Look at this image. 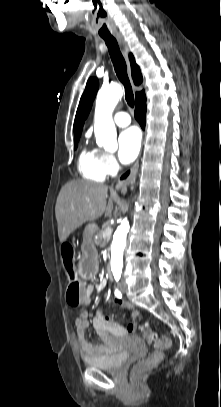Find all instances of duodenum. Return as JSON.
<instances>
[{
	"mask_svg": "<svg viewBox=\"0 0 221 407\" xmlns=\"http://www.w3.org/2000/svg\"><path fill=\"white\" fill-rule=\"evenodd\" d=\"M106 276L108 279L112 280V271L110 269V266H107L106 268Z\"/></svg>",
	"mask_w": 221,
	"mask_h": 407,
	"instance_id": "obj_1",
	"label": "duodenum"
}]
</instances>
